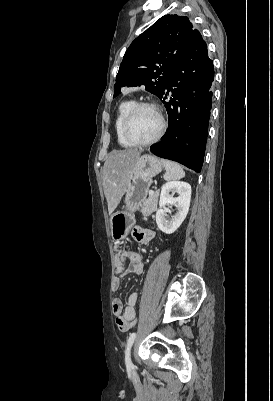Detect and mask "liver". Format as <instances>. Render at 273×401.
<instances>
[{
  "mask_svg": "<svg viewBox=\"0 0 273 401\" xmlns=\"http://www.w3.org/2000/svg\"><path fill=\"white\" fill-rule=\"evenodd\" d=\"M140 150H112L103 166V188L107 198L108 213L111 215L118 207L129 182L128 172L140 158Z\"/></svg>",
  "mask_w": 273,
  "mask_h": 401,
  "instance_id": "obj_1",
  "label": "liver"
}]
</instances>
